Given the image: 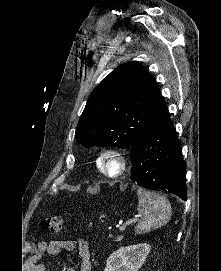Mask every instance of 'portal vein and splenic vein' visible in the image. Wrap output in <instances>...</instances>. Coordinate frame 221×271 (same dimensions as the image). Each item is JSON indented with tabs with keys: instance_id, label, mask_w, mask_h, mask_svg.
<instances>
[{
	"instance_id": "18ae733b",
	"label": "portal vein and splenic vein",
	"mask_w": 221,
	"mask_h": 271,
	"mask_svg": "<svg viewBox=\"0 0 221 271\" xmlns=\"http://www.w3.org/2000/svg\"><path fill=\"white\" fill-rule=\"evenodd\" d=\"M132 217L135 218V219H128V221H125V223H123V225H120V227H119L120 231H122V229H125V227H127V225H130V223H133V221H137L136 218L139 217V214L138 213H133Z\"/></svg>"
}]
</instances>
